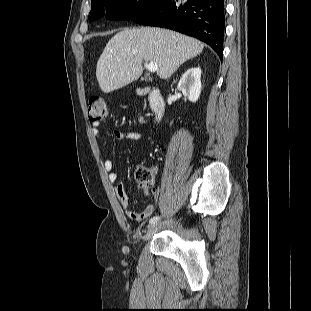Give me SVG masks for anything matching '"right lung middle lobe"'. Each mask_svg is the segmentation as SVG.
<instances>
[{
  "mask_svg": "<svg viewBox=\"0 0 311 311\" xmlns=\"http://www.w3.org/2000/svg\"><path fill=\"white\" fill-rule=\"evenodd\" d=\"M159 0H95L91 4L89 21L106 16L114 20H132Z\"/></svg>",
  "mask_w": 311,
  "mask_h": 311,
  "instance_id": "right-lung-middle-lobe-1",
  "label": "right lung middle lobe"
}]
</instances>
